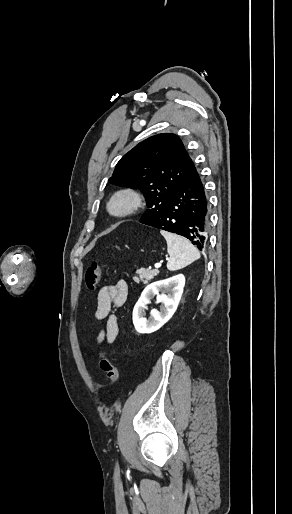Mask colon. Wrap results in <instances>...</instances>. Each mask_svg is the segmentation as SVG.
<instances>
[{
    "mask_svg": "<svg viewBox=\"0 0 292 514\" xmlns=\"http://www.w3.org/2000/svg\"><path fill=\"white\" fill-rule=\"evenodd\" d=\"M105 266L99 261H94L85 271V284L88 290L95 291L99 285L100 278L104 272ZM100 367L109 380L105 388L114 386L119 381V371L107 351L102 348L99 352Z\"/></svg>",
    "mask_w": 292,
    "mask_h": 514,
    "instance_id": "5ec220e1",
    "label": "colon"
}]
</instances>
